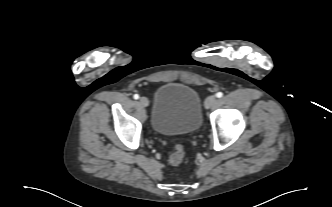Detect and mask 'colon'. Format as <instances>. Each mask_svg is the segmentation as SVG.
I'll return each instance as SVG.
<instances>
[{"label":"colon","instance_id":"colon-1","mask_svg":"<svg viewBox=\"0 0 332 207\" xmlns=\"http://www.w3.org/2000/svg\"><path fill=\"white\" fill-rule=\"evenodd\" d=\"M185 157V150L181 144H175L174 152L169 157V163L173 166L180 165Z\"/></svg>","mask_w":332,"mask_h":207}]
</instances>
